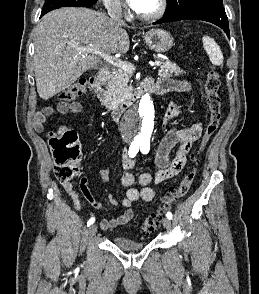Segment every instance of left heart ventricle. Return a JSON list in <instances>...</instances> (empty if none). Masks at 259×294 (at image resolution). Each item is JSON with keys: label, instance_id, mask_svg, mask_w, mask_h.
<instances>
[{"label": "left heart ventricle", "instance_id": "left-heart-ventricle-1", "mask_svg": "<svg viewBox=\"0 0 259 294\" xmlns=\"http://www.w3.org/2000/svg\"><path fill=\"white\" fill-rule=\"evenodd\" d=\"M159 0H143L141 6L136 11L140 14H151L158 9Z\"/></svg>", "mask_w": 259, "mask_h": 294}]
</instances>
